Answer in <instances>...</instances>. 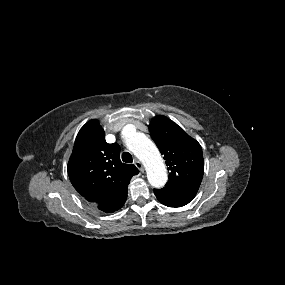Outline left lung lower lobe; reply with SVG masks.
<instances>
[{
    "instance_id": "obj_1",
    "label": "left lung lower lobe",
    "mask_w": 285,
    "mask_h": 285,
    "mask_svg": "<svg viewBox=\"0 0 285 285\" xmlns=\"http://www.w3.org/2000/svg\"><path fill=\"white\" fill-rule=\"evenodd\" d=\"M195 191L164 187L162 189H154L157 199L168 207H182L188 204L195 196Z\"/></svg>"
}]
</instances>
